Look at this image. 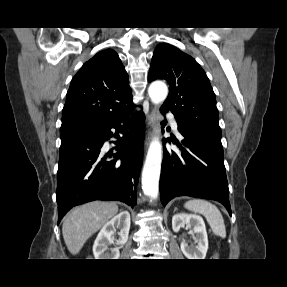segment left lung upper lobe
Here are the masks:
<instances>
[{
	"label": "left lung upper lobe",
	"instance_id": "5c2ea615",
	"mask_svg": "<svg viewBox=\"0 0 287 287\" xmlns=\"http://www.w3.org/2000/svg\"><path fill=\"white\" fill-rule=\"evenodd\" d=\"M164 79L170 85L161 110L171 111L179 126L222 147L216 98L205 71L178 48L159 44L149 71V82Z\"/></svg>",
	"mask_w": 287,
	"mask_h": 287
}]
</instances>
